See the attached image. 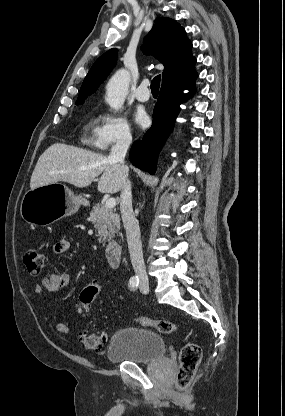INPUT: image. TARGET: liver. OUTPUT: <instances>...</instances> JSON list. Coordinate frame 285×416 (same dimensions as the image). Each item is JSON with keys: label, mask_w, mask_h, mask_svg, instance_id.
Returning <instances> with one entry per match:
<instances>
[{"label": "liver", "mask_w": 285, "mask_h": 416, "mask_svg": "<svg viewBox=\"0 0 285 416\" xmlns=\"http://www.w3.org/2000/svg\"><path fill=\"white\" fill-rule=\"evenodd\" d=\"M100 174L98 192L116 194L128 176V168L110 164L103 154L66 144H53L40 156L31 176L30 188L35 190L55 182H68L76 188H87Z\"/></svg>", "instance_id": "obj_1"}]
</instances>
